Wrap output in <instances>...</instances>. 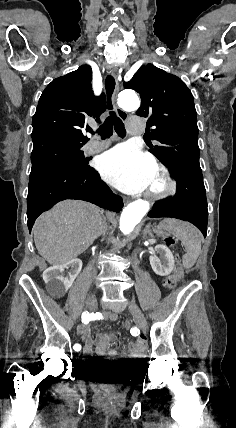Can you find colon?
<instances>
[{
  "label": "colon",
  "mask_w": 236,
  "mask_h": 428,
  "mask_svg": "<svg viewBox=\"0 0 236 428\" xmlns=\"http://www.w3.org/2000/svg\"><path fill=\"white\" fill-rule=\"evenodd\" d=\"M165 242L170 247H173L176 245V240L173 237H167L165 239ZM183 273H184V270H183L179 260L177 259V264H176L174 271L165 280V286L169 289H173L175 287V285L177 284V282L179 281V279L183 276ZM124 326H125V328H129L130 323L125 322Z\"/></svg>",
  "instance_id": "obj_1"
}]
</instances>
